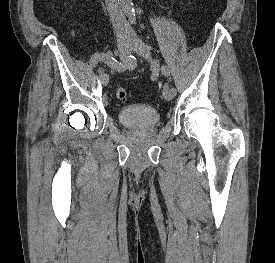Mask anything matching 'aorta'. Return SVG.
Segmentation results:
<instances>
[{"instance_id": "obj_1", "label": "aorta", "mask_w": 275, "mask_h": 263, "mask_svg": "<svg viewBox=\"0 0 275 263\" xmlns=\"http://www.w3.org/2000/svg\"><path fill=\"white\" fill-rule=\"evenodd\" d=\"M120 6L123 12L131 19H135V10L132 0H120Z\"/></svg>"}]
</instances>
